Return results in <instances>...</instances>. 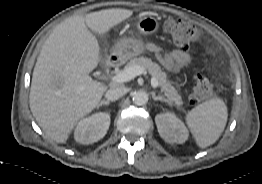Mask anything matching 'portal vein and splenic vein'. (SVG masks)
Listing matches in <instances>:
<instances>
[{
	"label": "portal vein and splenic vein",
	"mask_w": 262,
	"mask_h": 184,
	"mask_svg": "<svg viewBox=\"0 0 262 184\" xmlns=\"http://www.w3.org/2000/svg\"><path fill=\"white\" fill-rule=\"evenodd\" d=\"M141 74H146V70L140 66H131L112 76L110 81L113 83L127 82ZM151 85L153 88H156L158 86V81L155 78H152Z\"/></svg>",
	"instance_id": "portal-vein-and-splenic-vein-1"
}]
</instances>
